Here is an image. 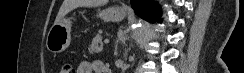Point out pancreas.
<instances>
[{
  "mask_svg": "<svg viewBox=\"0 0 244 73\" xmlns=\"http://www.w3.org/2000/svg\"><path fill=\"white\" fill-rule=\"evenodd\" d=\"M89 52L90 53H100L103 51V42L101 35H96V37L93 39L91 45L89 46Z\"/></svg>",
  "mask_w": 244,
  "mask_h": 73,
  "instance_id": "cf45deb5",
  "label": "pancreas"
}]
</instances>
